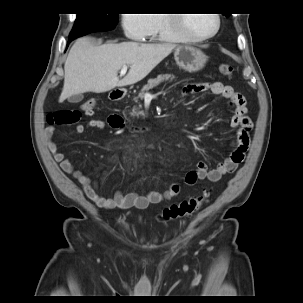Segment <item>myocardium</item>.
I'll return each mask as SVG.
<instances>
[{
    "mask_svg": "<svg viewBox=\"0 0 303 303\" xmlns=\"http://www.w3.org/2000/svg\"><path fill=\"white\" fill-rule=\"evenodd\" d=\"M170 24L178 30V32L187 41H205L214 37L220 29L221 17L219 14H211L215 19V27L212 31L204 35H195L190 33L186 28V14H168Z\"/></svg>",
    "mask_w": 303,
    "mask_h": 303,
    "instance_id": "myocardium-1",
    "label": "myocardium"
}]
</instances>
